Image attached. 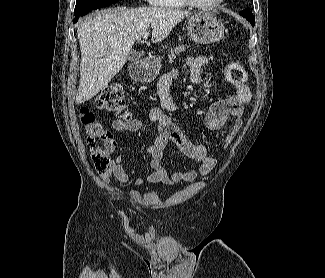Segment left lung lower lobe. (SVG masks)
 Here are the masks:
<instances>
[{"label":"left lung lower lobe","mask_w":325,"mask_h":278,"mask_svg":"<svg viewBox=\"0 0 325 278\" xmlns=\"http://www.w3.org/2000/svg\"><path fill=\"white\" fill-rule=\"evenodd\" d=\"M239 14L245 17L251 23V25L254 26L255 18L249 9H246L243 12H240Z\"/></svg>","instance_id":"left-lung-lower-lobe-1"}]
</instances>
